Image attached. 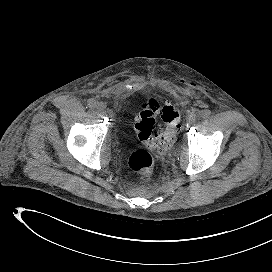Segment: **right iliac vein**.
<instances>
[{
	"instance_id": "right-iliac-vein-1",
	"label": "right iliac vein",
	"mask_w": 272,
	"mask_h": 272,
	"mask_svg": "<svg viewBox=\"0 0 272 272\" xmlns=\"http://www.w3.org/2000/svg\"><path fill=\"white\" fill-rule=\"evenodd\" d=\"M104 109H105V106L102 102H97L96 104V110L99 112V113H103L104 112Z\"/></svg>"
}]
</instances>
